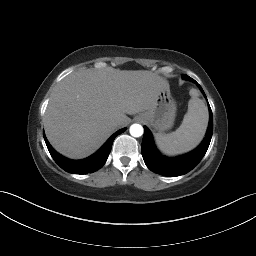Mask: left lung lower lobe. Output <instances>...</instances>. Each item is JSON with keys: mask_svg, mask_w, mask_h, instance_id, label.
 Returning <instances> with one entry per match:
<instances>
[{"mask_svg": "<svg viewBox=\"0 0 256 256\" xmlns=\"http://www.w3.org/2000/svg\"><path fill=\"white\" fill-rule=\"evenodd\" d=\"M187 79L197 83L189 76ZM197 85L206 97L201 86L199 84ZM209 117L207 133L202 143L194 151L176 158H168L161 155L155 147L151 132L144 126V136L141 148L142 156L147 167L154 173L170 177L180 176L191 171L205 155L212 138L213 115L210 106Z\"/></svg>", "mask_w": 256, "mask_h": 256, "instance_id": "1", "label": "left lung lower lobe"}]
</instances>
